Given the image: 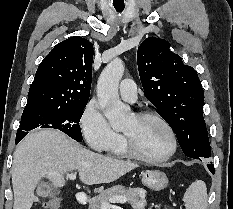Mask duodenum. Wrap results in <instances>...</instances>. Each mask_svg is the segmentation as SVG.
Masks as SVG:
<instances>
[{
  "instance_id": "obj_1",
  "label": "duodenum",
  "mask_w": 233,
  "mask_h": 209,
  "mask_svg": "<svg viewBox=\"0 0 233 209\" xmlns=\"http://www.w3.org/2000/svg\"><path fill=\"white\" fill-rule=\"evenodd\" d=\"M88 199L87 196L84 193H78L76 195V202L79 205H85L87 203Z\"/></svg>"
}]
</instances>
